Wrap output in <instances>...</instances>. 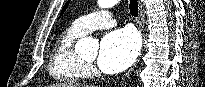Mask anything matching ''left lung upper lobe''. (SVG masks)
Here are the masks:
<instances>
[{"label": "left lung upper lobe", "instance_id": "1", "mask_svg": "<svg viewBox=\"0 0 205 87\" xmlns=\"http://www.w3.org/2000/svg\"><path fill=\"white\" fill-rule=\"evenodd\" d=\"M68 3H69V2H67V3L64 5V7H63V9H62V11H61V14H60V15H62V14L64 13L65 9H66V8H67V6H68Z\"/></svg>", "mask_w": 205, "mask_h": 87}]
</instances>
